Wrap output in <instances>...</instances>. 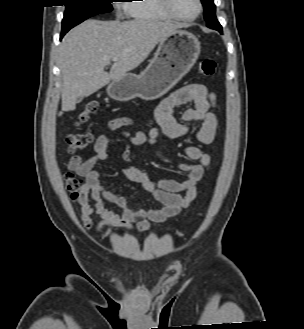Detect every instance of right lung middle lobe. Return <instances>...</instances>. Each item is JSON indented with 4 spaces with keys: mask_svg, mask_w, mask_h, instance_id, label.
Instances as JSON below:
<instances>
[{
    "mask_svg": "<svg viewBox=\"0 0 304 329\" xmlns=\"http://www.w3.org/2000/svg\"><path fill=\"white\" fill-rule=\"evenodd\" d=\"M62 33L68 32L89 17L112 11V0H65Z\"/></svg>",
    "mask_w": 304,
    "mask_h": 329,
    "instance_id": "obj_1",
    "label": "right lung middle lobe"
}]
</instances>
